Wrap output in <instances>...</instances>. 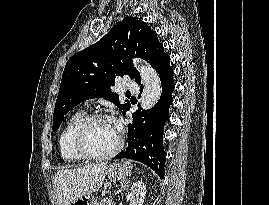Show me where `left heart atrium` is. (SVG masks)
Masks as SVG:
<instances>
[{"mask_svg":"<svg viewBox=\"0 0 269 205\" xmlns=\"http://www.w3.org/2000/svg\"><path fill=\"white\" fill-rule=\"evenodd\" d=\"M113 125L115 126V128L118 130V125L116 122L112 121Z\"/></svg>","mask_w":269,"mask_h":205,"instance_id":"left-heart-atrium-1","label":"left heart atrium"}]
</instances>
